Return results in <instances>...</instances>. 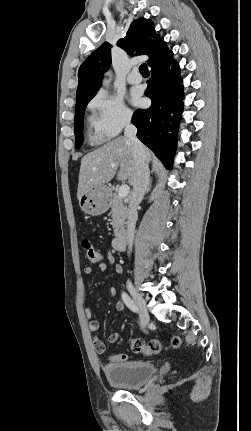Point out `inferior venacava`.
Returning a JSON list of instances; mask_svg holds the SVG:
<instances>
[{"instance_id":"1","label":"inferior vena cava","mask_w":251,"mask_h":431,"mask_svg":"<svg viewBox=\"0 0 251 431\" xmlns=\"http://www.w3.org/2000/svg\"><path fill=\"white\" fill-rule=\"evenodd\" d=\"M136 127L128 121L125 126L124 136L131 142L135 162V176L133 180V191L129 197L127 211L126 240L129 251L132 250L135 225L137 221V208L141 203L149 185L148 161L143 144L138 140Z\"/></svg>"}]
</instances>
